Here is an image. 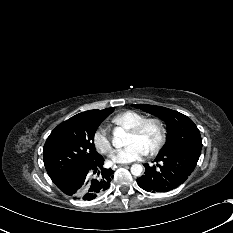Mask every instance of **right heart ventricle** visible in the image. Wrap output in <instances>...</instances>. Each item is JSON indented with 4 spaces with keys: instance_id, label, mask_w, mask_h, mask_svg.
Instances as JSON below:
<instances>
[{
    "instance_id": "right-heart-ventricle-1",
    "label": "right heart ventricle",
    "mask_w": 233,
    "mask_h": 233,
    "mask_svg": "<svg viewBox=\"0 0 233 233\" xmlns=\"http://www.w3.org/2000/svg\"><path fill=\"white\" fill-rule=\"evenodd\" d=\"M145 118L146 116L140 112L127 110L114 116L112 122L118 127L130 129Z\"/></svg>"
}]
</instances>
